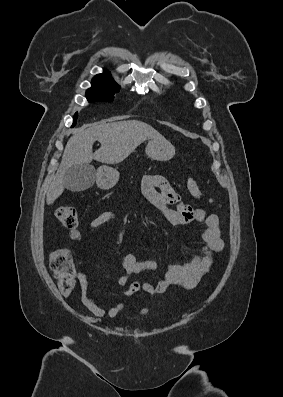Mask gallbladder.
I'll list each match as a JSON object with an SVG mask.
<instances>
[{
  "mask_svg": "<svg viewBox=\"0 0 283 397\" xmlns=\"http://www.w3.org/2000/svg\"><path fill=\"white\" fill-rule=\"evenodd\" d=\"M65 187L72 192H81L90 188L95 181V169L90 164L71 166L63 177Z\"/></svg>",
  "mask_w": 283,
  "mask_h": 397,
  "instance_id": "bac80fb5",
  "label": "gallbladder"
}]
</instances>
